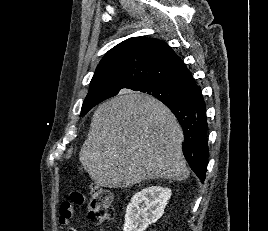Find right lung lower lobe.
<instances>
[{
    "mask_svg": "<svg viewBox=\"0 0 268 231\" xmlns=\"http://www.w3.org/2000/svg\"><path fill=\"white\" fill-rule=\"evenodd\" d=\"M177 117L184 132L183 154L191 169L203 182L209 156L206 106L198 87L186 102H163Z\"/></svg>",
    "mask_w": 268,
    "mask_h": 231,
    "instance_id": "obj_1",
    "label": "right lung lower lobe"
}]
</instances>
